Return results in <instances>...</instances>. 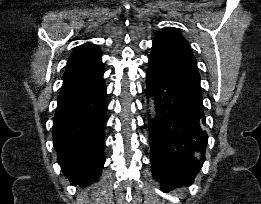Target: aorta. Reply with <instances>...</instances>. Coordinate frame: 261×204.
Instances as JSON below:
<instances>
[{
    "label": "aorta",
    "mask_w": 261,
    "mask_h": 204,
    "mask_svg": "<svg viewBox=\"0 0 261 204\" xmlns=\"http://www.w3.org/2000/svg\"><path fill=\"white\" fill-rule=\"evenodd\" d=\"M149 106H150L149 109H150L151 116H152V118H154L156 115L154 100L151 99Z\"/></svg>",
    "instance_id": "obj_1"
}]
</instances>
